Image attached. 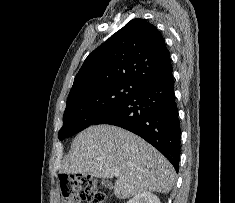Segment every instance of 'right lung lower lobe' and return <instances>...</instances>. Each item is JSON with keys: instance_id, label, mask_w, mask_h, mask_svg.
I'll return each instance as SVG.
<instances>
[{"instance_id": "1", "label": "right lung lower lobe", "mask_w": 235, "mask_h": 203, "mask_svg": "<svg viewBox=\"0 0 235 203\" xmlns=\"http://www.w3.org/2000/svg\"><path fill=\"white\" fill-rule=\"evenodd\" d=\"M129 130L157 148L179 170L180 122L172 68L143 81L117 108L97 120Z\"/></svg>"}]
</instances>
